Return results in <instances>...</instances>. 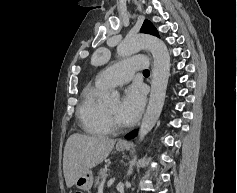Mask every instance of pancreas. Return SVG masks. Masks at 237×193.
<instances>
[{"mask_svg": "<svg viewBox=\"0 0 237 193\" xmlns=\"http://www.w3.org/2000/svg\"><path fill=\"white\" fill-rule=\"evenodd\" d=\"M106 172H107L106 168L100 169L98 176L95 179V186L99 184L100 180L105 176Z\"/></svg>", "mask_w": 237, "mask_h": 193, "instance_id": "pancreas-1", "label": "pancreas"}]
</instances>
